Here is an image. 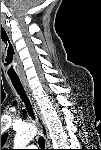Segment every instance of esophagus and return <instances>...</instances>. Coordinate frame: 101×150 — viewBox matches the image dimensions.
<instances>
[{"label":"esophagus","instance_id":"1","mask_svg":"<svg viewBox=\"0 0 101 150\" xmlns=\"http://www.w3.org/2000/svg\"><path fill=\"white\" fill-rule=\"evenodd\" d=\"M22 83H23V86H24V88H25V90L27 92V95H28L29 99H30V102H31V104H32V106L34 108L35 116H36L37 122H38L39 127H40L41 135L43 136L46 145H48V129H47V126L45 124L42 112H41V110H40V108L38 106V103L35 100L32 92L30 90V87L28 85L27 80L22 79Z\"/></svg>","mask_w":101,"mask_h":150}]
</instances>
